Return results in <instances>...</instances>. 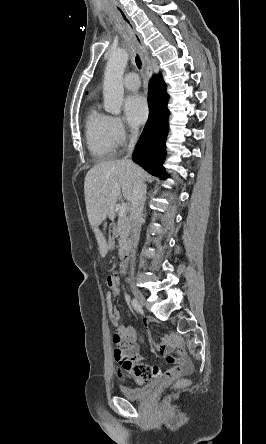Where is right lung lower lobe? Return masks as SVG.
<instances>
[{
	"mask_svg": "<svg viewBox=\"0 0 266 444\" xmlns=\"http://www.w3.org/2000/svg\"><path fill=\"white\" fill-rule=\"evenodd\" d=\"M166 84L161 75L153 76L149 86V118L133 153V161L147 172L162 178L165 170V141L168 132L169 111Z\"/></svg>",
	"mask_w": 266,
	"mask_h": 444,
	"instance_id": "98d812e1",
	"label": "right lung lower lobe"
}]
</instances>
